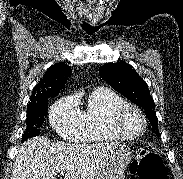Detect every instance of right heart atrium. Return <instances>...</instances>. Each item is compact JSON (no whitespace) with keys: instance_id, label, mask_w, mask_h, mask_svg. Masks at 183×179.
Here are the masks:
<instances>
[{"instance_id":"d8ad5b80","label":"right heart atrium","mask_w":183,"mask_h":179,"mask_svg":"<svg viewBox=\"0 0 183 179\" xmlns=\"http://www.w3.org/2000/svg\"><path fill=\"white\" fill-rule=\"evenodd\" d=\"M50 120L53 128L65 139L77 140L82 135V113L74 95L66 96L52 106Z\"/></svg>"}]
</instances>
